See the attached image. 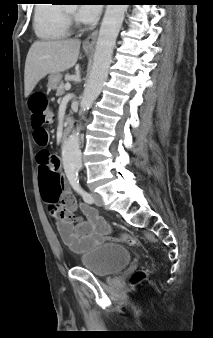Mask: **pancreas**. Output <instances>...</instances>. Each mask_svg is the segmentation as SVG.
Returning <instances> with one entry per match:
<instances>
[{"mask_svg":"<svg viewBox=\"0 0 213 338\" xmlns=\"http://www.w3.org/2000/svg\"><path fill=\"white\" fill-rule=\"evenodd\" d=\"M65 93V84L61 82L57 87L56 96H62Z\"/></svg>","mask_w":213,"mask_h":338,"instance_id":"1","label":"pancreas"}]
</instances>
